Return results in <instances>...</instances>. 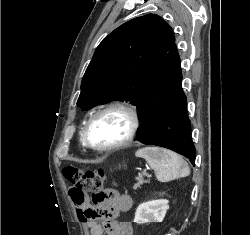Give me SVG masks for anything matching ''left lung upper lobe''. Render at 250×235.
<instances>
[{
  "mask_svg": "<svg viewBox=\"0 0 250 235\" xmlns=\"http://www.w3.org/2000/svg\"><path fill=\"white\" fill-rule=\"evenodd\" d=\"M174 44L171 27L158 15L122 24L97 47L77 105L90 109L114 100L137 105Z\"/></svg>",
  "mask_w": 250,
  "mask_h": 235,
  "instance_id": "1",
  "label": "left lung upper lobe"
}]
</instances>
